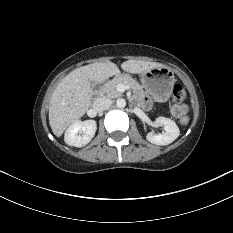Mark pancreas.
I'll list each match as a JSON object with an SVG mask.
<instances>
[{
  "label": "pancreas",
  "instance_id": "pancreas-1",
  "mask_svg": "<svg viewBox=\"0 0 233 233\" xmlns=\"http://www.w3.org/2000/svg\"><path fill=\"white\" fill-rule=\"evenodd\" d=\"M120 84L128 86L130 89L133 90L134 93H137L143 90V87L136 80H134L131 76H120L105 83L101 87L100 92L108 98L120 97L122 93L117 90V86Z\"/></svg>",
  "mask_w": 233,
  "mask_h": 233
}]
</instances>
